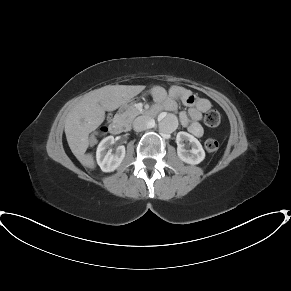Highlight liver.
<instances>
[{"instance_id":"6515ba94","label":"liver","mask_w":291,"mask_h":291,"mask_svg":"<svg viewBox=\"0 0 291 291\" xmlns=\"http://www.w3.org/2000/svg\"><path fill=\"white\" fill-rule=\"evenodd\" d=\"M144 86L108 85L86 94L67 114L65 134L68 145L78 161L89 169L96 164L89 146V134L105 119V111H113L138 95Z\"/></svg>"}]
</instances>
